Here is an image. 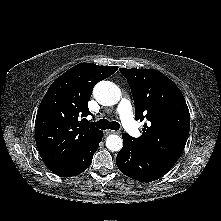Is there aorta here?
Segmentation results:
<instances>
[{
	"label": "aorta",
	"instance_id": "762f6f07",
	"mask_svg": "<svg viewBox=\"0 0 221 221\" xmlns=\"http://www.w3.org/2000/svg\"><path fill=\"white\" fill-rule=\"evenodd\" d=\"M93 95L98 103L111 106L118 103L121 98V91L113 82L101 81L94 87ZM106 147L114 152L120 151L123 147V140L116 134L109 135L106 139Z\"/></svg>",
	"mask_w": 221,
	"mask_h": 221
}]
</instances>
